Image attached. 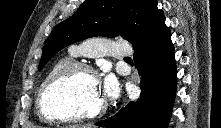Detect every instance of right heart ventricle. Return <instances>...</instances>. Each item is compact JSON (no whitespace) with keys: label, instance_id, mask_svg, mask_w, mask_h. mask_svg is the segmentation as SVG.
Wrapping results in <instances>:
<instances>
[{"label":"right heart ventricle","instance_id":"1","mask_svg":"<svg viewBox=\"0 0 221 128\" xmlns=\"http://www.w3.org/2000/svg\"><path fill=\"white\" fill-rule=\"evenodd\" d=\"M74 57H75V55L70 51L68 54L63 55V56L59 57L58 59H56V61L49 68L45 78L43 79V82L46 81L48 78H50L53 74L58 72L60 69H62L64 66L73 62ZM43 82H42V84H43Z\"/></svg>","mask_w":221,"mask_h":128}]
</instances>
